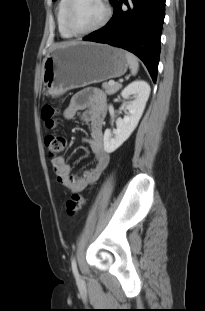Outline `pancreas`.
Listing matches in <instances>:
<instances>
[{"label": "pancreas", "mask_w": 205, "mask_h": 311, "mask_svg": "<svg viewBox=\"0 0 205 311\" xmlns=\"http://www.w3.org/2000/svg\"><path fill=\"white\" fill-rule=\"evenodd\" d=\"M121 87H122V85L119 83H115L113 85H111L109 83H103V85H102V88L105 90V92L108 95H112V94L116 93Z\"/></svg>", "instance_id": "pancreas-1"}]
</instances>
